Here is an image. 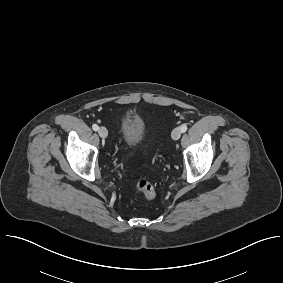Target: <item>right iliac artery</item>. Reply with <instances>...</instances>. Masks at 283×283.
I'll use <instances>...</instances> for the list:
<instances>
[{"label": "right iliac artery", "instance_id": "1", "mask_svg": "<svg viewBox=\"0 0 283 283\" xmlns=\"http://www.w3.org/2000/svg\"><path fill=\"white\" fill-rule=\"evenodd\" d=\"M92 128H93L94 131H97V130L99 129V127H98L97 124H93V125H92Z\"/></svg>", "mask_w": 283, "mask_h": 283}]
</instances>
